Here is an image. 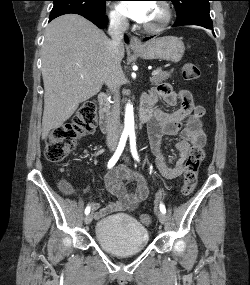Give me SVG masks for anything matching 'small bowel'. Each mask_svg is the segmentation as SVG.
<instances>
[{
    "mask_svg": "<svg viewBox=\"0 0 250 285\" xmlns=\"http://www.w3.org/2000/svg\"><path fill=\"white\" fill-rule=\"evenodd\" d=\"M159 100L169 106H175L180 100L181 105L176 111L168 113L155 106ZM143 102L148 103L152 109L148 134L152 151L156 157V167L164 178L178 179L184 172V164L190 148L193 146L203 147L206 143V136L201 124L204 109L194 103L188 90L175 91L169 84L157 86L143 97ZM175 135L180 137L175 145L178 157L175 165L170 166L162 152L161 145L164 136ZM131 181L135 182L136 187L129 192L125 185ZM106 185L117 200L104 208H101L98 203H92V209L97 219L119 211L134 210L149 195L147 181L138 172L125 165L116 167L108 174ZM60 189L65 195L73 193V188L67 181L60 183Z\"/></svg>",
    "mask_w": 250,
    "mask_h": 285,
    "instance_id": "c3829d8e",
    "label": "small bowel"
}]
</instances>
